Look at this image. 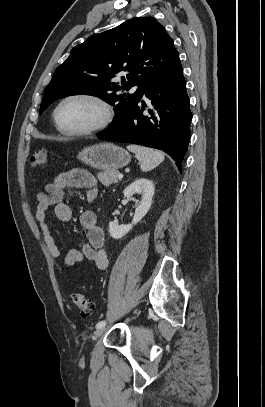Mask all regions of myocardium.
Instances as JSON below:
<instances>
[{"label": "myocardium", "instance_id": "f54148a6", "mask_svg": "<svg viewBox=\"0 0 265 407\" xmlns=\"http://www.w3.org/2000/svg\"><path fill=\"white\" fill-rule=\"evenodd\" d=\"M74 99L87 100V101L93 102L94 104L99 106L102 111L101 120L92 126L82 128V129H67V128L62 127L60 125V122L58 119L59 110L66 102H68L70 100H74ZM113 119H114L113 106L103 97L93 94V93H88V92H76V93H71V94L63 97L57 103V105L55 106L54 111H53V120H54V125H55L56 129L61 134H64L67 136H87V135L97 134V133L107 129L113 122Z\"/></svg>", "mask_w": 265, "mask_h": 407}]
</instances>
